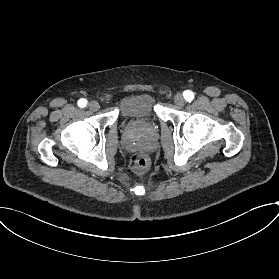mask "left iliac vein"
Instances as JSON below:
<instances>
[{
  "instance_id": "obj_1",
  "label": "left iliac vein",
  "mask_w": 279,
  "mask_h": 279,
  "mask_svg": "<svg viewBox=\"0 0 279 279\" xmlns=\"http://www.w3.org/2000/svg\"><path fill=\"white\" fill-rule=\"evenodd\" d=\"M174 102L178 107H183L185 103V99L182 94H177L174 98Z\"/></svg>"
}]
</instances>
